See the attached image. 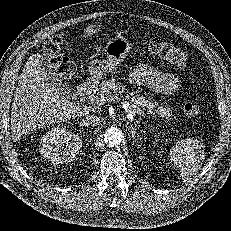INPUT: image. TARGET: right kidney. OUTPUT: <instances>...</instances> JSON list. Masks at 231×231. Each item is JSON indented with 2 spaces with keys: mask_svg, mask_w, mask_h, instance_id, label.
<instances>
[{
  "mask_svg": "<svg viewBox=\"0 0 231 231\" xmlns=\"http://www.w3.org/2000/svg\"><path fill=\"white\" fill-rule=\"evenodd\" d=\"M82 147L79 135L63 127H54L41 139L40 154L55 164L72 162Z\"/></svg>",
  "mask_w": 231,
  "mask_h": 231,
  "instance_id": "1",
  "label": "right kidney"
}]
</instances>
